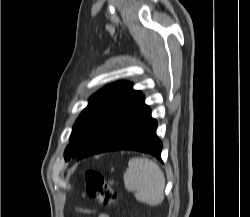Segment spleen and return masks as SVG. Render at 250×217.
Returning a JSON list of instances; mask_svg holds the SVG:
<instances>
[{
    "label": "spleen",
    "mask_w": 250,
    "mask_h": 217,
    "mask_svg": "<svg viewBox=\"0 0 250 217\" xmlns=\"http://www.w3.org/2000/svg\"><path fill=\"white\" fill-rule=\"evenodd\" d=\"M126 190L139 202L157 206L164 200L165 177L160 167L147 158H132L124 176Z\"/></svg>",
    "instance_id": "obj_1"
}]
</instances>
